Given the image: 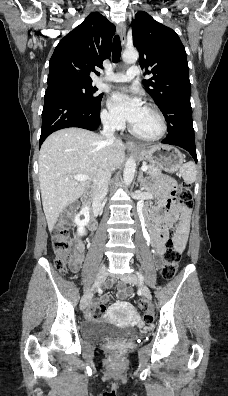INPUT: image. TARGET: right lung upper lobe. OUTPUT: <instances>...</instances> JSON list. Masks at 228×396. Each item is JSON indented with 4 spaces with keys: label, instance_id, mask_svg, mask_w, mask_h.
I'll use <instances>...</instances> for the list:
<instances>
[{
    "label": "right lung upper lobe",
    "instance_id": "obj_1",
    "mask_svg": "<svg viewBox=\"0 0 228 396\" xmlns=\"http://www.w3.org/2000/svg\"><path fill=\"white\" fill-rule=\"evenodd\" d=\"M115 26L100 13L86 19L56 46L49 62L48 86L63 82L92 83L91 72L111 55Z\"/></svg>",
    "mask_w": 228,
    "mask_h": 396
}]
</instances>
